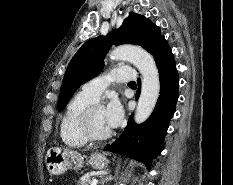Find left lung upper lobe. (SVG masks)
I'll return each instance as SVG.
<instances>
[{
  "label": "left lung upper lobe",
  "mask_w": 233,
  "mask_h": 185,
  "mask_svg": "<svg viewBox=\"0 0 233 185\" xmlns=\"http://www.w3.org/2000/svg\"><path fill=\"white\" fill-rule=\"evenodd\" d=\"M162 38L159 27L144 16L130 12L118 30L85 42L66 70L59 95V111L65 108L79 86L101 72L104 56L111 44H137L152 54Z\"/></svg>",
  "instance_id": "obj_1"
}]
</instances>
